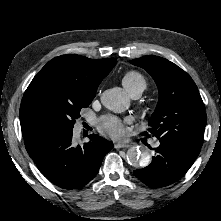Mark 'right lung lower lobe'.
<instances>
[{
	"label": "right lung lower lobe",
	"mask_w": 221,
	"mask_h": 221,
	"mask_svg": "<svg viewBox=\"0 0 221 221\" xmlns=\"http://www.w3.org/2000/svg\"><path fill=\"white\" fill-rule=\"evenodd\" d=\"M72 130L51 128L34 132L24 138L25 147L43 175L64 189H79L98 173L105 155L113 143L99 135H89L90 141L75 146Z\"/></svg>",
	"instance_id": "obj_1"
}]
</instances>
